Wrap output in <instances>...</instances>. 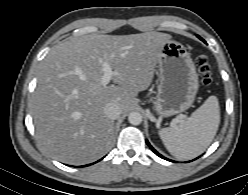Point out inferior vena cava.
I'll return each mask as SVG.
<instances>
[{"instance_id": "obj_1", "label": "inferior vena cava", "mask_w": 248, "mask_h": 195, "mask_svg": "<svg viewBox=\"0 0 248 195\" xmlns=\"http://www.w3.org/2000/svg\"><path fill=\"white\" fill-rule=\"evenodd\" d=\"M104 113L109 119L115 120L121 115L122 109L118 103L109 102L104 107Z\"/></svg>"}]
</instances>
